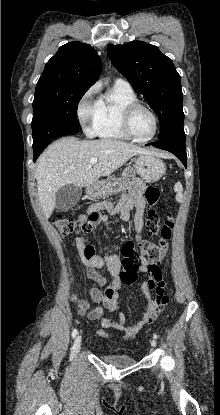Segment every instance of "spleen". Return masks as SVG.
Returning <instances> with one entry per match:
<instances>
[{
	"label": "spleen",
	"instance_id": "3e777b00",
	"mask_svg": "<svg viewBox=\"0 0 220 415\" xmlns=\"http://www.w3.org/2000/svg\"><path fill=\"white\" fill-rule=\"evenodd\" d=\"M174 190H175V192L177 193V195H176V200L178 201V202H182V200H183V187H182V184H181V182H177L176 184H175V186H174Z\"/></svg>",
	"mask_w": 220,
	"mask_h": 415
}]
</instances>
